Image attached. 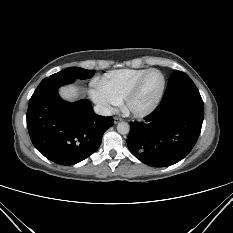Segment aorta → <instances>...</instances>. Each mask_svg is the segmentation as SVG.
<instances>
[{"instance_id": "aorta-1", "label": "aorta", "mask_w": 233, "mask_h": 233, "mask_svg": "<svg viewBox=\"0 0 233 233\" xmlns=\"http://www.w3.org/2000/svg\"><path fill=\"white\" fill-rule=\"evenodd\" d=\"M117 131L120 133V134H128L129 131H130V127L128 125V123L126 122H120L118 123L117 125Z\"/></svg>"}]
</instances>
